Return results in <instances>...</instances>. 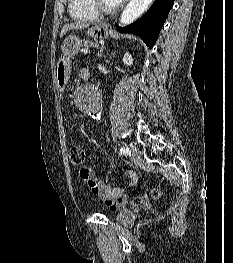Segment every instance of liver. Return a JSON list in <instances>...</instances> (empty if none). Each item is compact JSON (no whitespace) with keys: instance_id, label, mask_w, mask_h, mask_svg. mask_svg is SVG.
Masks as SVG:
<instances>
[{"instance_id":"6515ba94","label":"liver","mask_w":233,"mask_h":263,"mask_svg":"<svg viewBox=\"0 0 233 263\" xmlns=\"http://www.w3.org/2000/svg\"><path fill=\"white\" fill-rule=\"evenodd\" d=\"M89 25L85 23H71V24H65L61 30L60 37H63L65 33H67L69 30H74V29H84L87 28Z\"/></svg>"}]
</instances>
